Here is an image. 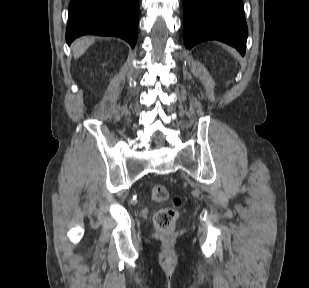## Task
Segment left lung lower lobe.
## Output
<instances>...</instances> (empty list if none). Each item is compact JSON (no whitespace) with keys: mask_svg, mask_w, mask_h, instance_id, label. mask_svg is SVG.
Returning a JSON list of instances; mask_svg holds the SVG:
<instances>
[{"mask_svg":"<svg viewBox=\"0 0 309 288\" xmlns=\"http://www.w3.org/2000/svg\"><path fill=\"white\" fill-rule=\"evenodd\" d=\"M183 35L188 49L206 40H219L244 56L248 36L243 0H182Z\"/></svg>","mask_w":309,"mask_h":288,"instance_id":"0a47b994","label":"left lung lower lobe"}]
</instances>
